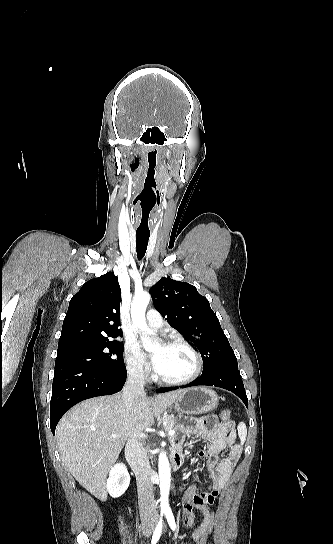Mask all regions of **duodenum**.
Returning <instances> with one entry per match:
<instances>
[{
    "mask_svg": "<svg viewBox=\"0 0 333 544\" xmlns=\"http://www.w3.org/2000/svg\"><path fill=\"white\" fill-rule=\"evenodd\" d=\"M125 459L127 463L129 464V466L134 471L136 477L139 479L142 478L143 469L137 460L136 449L133 446H129L126 448ZM182 460H183L182 454L177 451H173V453L170 456V465L172 469L177 470L181 466Z\"/></svg>",
    "mask_w": 333,
    "mask_h": 544,
    "instance_id": "1",
    "label": "duodenum"
}]
</instances>
